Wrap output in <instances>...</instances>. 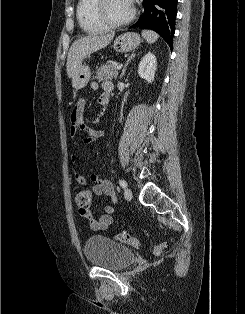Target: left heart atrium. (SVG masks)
Instances as JSON below:
<instances>
[{"label": "left heart atrium", "instance_id": "left-heart-atrium-1", "mask_svg": "<svg viewBox=\"0 0 245 314\" xmlns=\"http://www.w3.org/2000/svg\"><path fill=\"white\" fill-rule=\"evenodd\" d=\"M127 1L132 5V1H133V0H127Z\"/></svg>", "mask_w": 245, "mask_h": 314}]
</instances>
